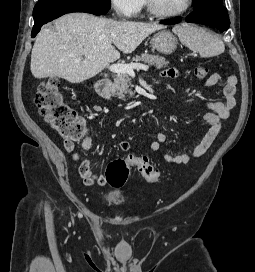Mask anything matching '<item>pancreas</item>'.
Wrapping results in <instances>:
<instances>
[{"mask_svg":"<svg viewBox=\"0 0 255 272\" xmlns=\"http://www.w3.org/2000/svg\"><path fill=\"white\" fill-rule=\"evenodd\" d=\"M138 62L148 63L149 65H154L157 69H161L167 67L169 62L166 61L164 57L159 55H152L144 53L142 55H137L132 59L131 64H135ZM131 79L127 73H118L114 76L113 89L116 92V95L120 99H125L126 95L130 98L134 94L130 89Z\"/></svg>","mask_w":255,"mask_h":272,"instance_id":"obj_1","label":"pancreas"}]
</instances>
